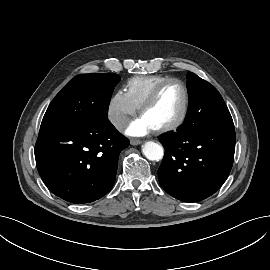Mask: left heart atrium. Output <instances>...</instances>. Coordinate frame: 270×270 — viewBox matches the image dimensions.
Masks as SVG:
<instances>
[{
  "label": "left heart atrium",
  "mask_w": 270,
  "mask_h": 270,
  "mask_svg": "<svg viewBox=\"0 0 270 270\" xmlns=\"http://www.w3.org/2000/svg\"><path fill=\"white\" fill-rule=\"evenodd\" d=\"M155 128L142 116L133 120L126 129V134L132 137L145 136Z\"/></svg>",
  "instance_id": "39dd6f15"
}]
</instances>
